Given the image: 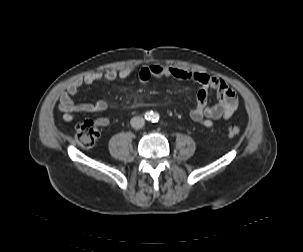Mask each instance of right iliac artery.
I'll return each instance as SVG.
<instances>
[{"label": "right iliac artery", "mask_w": 303, "mask_h": 252, "mask_svg": "<svg viewBox=\"0 0 303 252\" xmlns=\"http://www.w3.org/2000/svg\"><path fill=\"white\" fill-rule=\"evenodd\" d=\"M150 116H151V113H150V112H147V113L145 114V118H150Z\"/></svg>", "instance_id": "right-iliac-artery-1"}]
</instances>
